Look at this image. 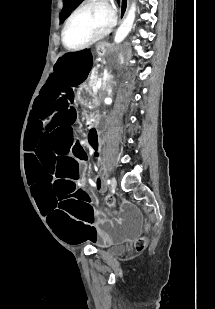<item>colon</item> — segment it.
<instances>
[{
    "mask_svg": "<svg viewBox=\"0 0 215 309\" xmlns=\"http://www.w3.org/2000/svg\"><path fill=\"white\" fill-rule=\"evenodd\" d=\"M108 202L109 203L113 202V198L109 197L108 198ZM137 246H138L139 249H144V247H145V240L143 239L142 241L138 242Z\"/></svg>",
    "mask_w": 215,
    "mask_h": 309,
    "instance_id": "5ec220e1",
    "label": "colon"
}]
</instances>
